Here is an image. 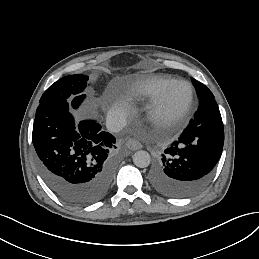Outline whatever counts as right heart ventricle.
Instances as JSON below:
<instances>
[{"instance_id": "1", "label": "right heart ventricle", "mask_w": 259, "mask_h": 259, "mask_svg": "<svg viewBox=\"0 0 259 259\" xmlns=\"http://www.w3.org/2000/svg\"><path fill=\"white\" fill-rule=\"evenodd\" d=\"M145 84L138 82L137 79H134L127 86L126 96L133 102L137 103L140 100L141 95L143 94ZM146 89V87H145Z\"/></svg>"}]
</instances>
